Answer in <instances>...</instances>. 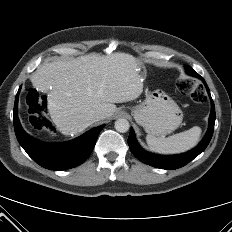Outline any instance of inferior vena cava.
<instances>
[{"instance_id": "obj_1", "label": "inferior vena cava", "mask_w": 232, "mask_h": 232, "mask_svg": "<svg viewBox=\"0 0 232 232\" xmlns=\"http://www.w3.org/2000/svg\"><path fill=\"white\" fill-rule=\"evenodd\" d=\"M101 118H102V115H100V114H93V115H91V120H92L93 122L98 121V120H100Z\"/></svg>"}]
</instances>
